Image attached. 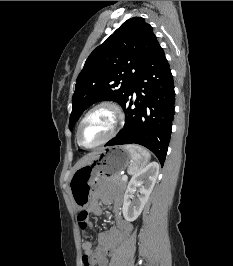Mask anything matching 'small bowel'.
<instances>
[{"mask_svg":"<svg viewBox=\"0 0 233 266\" xmlns=\"http://www.w3.org/2000/svg\"><path fill=\"white\" fill-rule=\"evenodd\" d=\"M97 198L105 203H113V213L115 218V226L112 227L108 232H101L98 234V244L94 248L93 242L90 240H84L82 243L83 249V264L85 266H107L108 257L111 256L117 246L122 240H124L131 232L132 226L122 216V199L120 196H111L109 194H99L96 198L89 204L88 211L95 215H101L102 209L97 202ZM88 227L92 228L93 224L88 220ZM85 233L86 230H83ZM91 258V265H87L85 258Z\"/></svg>","mask_w":233,"mask_h":266,"instance_id":"small-bowel-1","label":"small bowel"}]
</instances>
